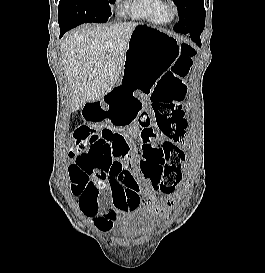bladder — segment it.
I'll list each match as a JSON object with an SVG mask.
<instances>
[{"label":"bladder","instance_id":"bladder-1","mask_svg":"<svg viewBox=\"0 0 265 273\" xmlns=\"http://www.w3.org/2000/svg\"><path fill=\"white\" fill-rule=\"evenodd\" d=\"M156 227V218L141 208L126 213L125 221L119 229V235L127 240L149 237Z\"/></svg>","mask_w":265,"mask_h":273}]
</instances>
